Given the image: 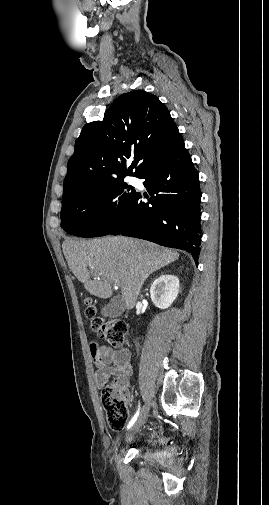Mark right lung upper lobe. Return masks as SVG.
<instances>
[{
  "mask_svg": "<svg viewBox=\"0 0 269 505\" xmlns=\"http://www.w3.org/2000/svg\"><path fill=\"white\" fill-rule=\"evenodd\" d=\"M182 143L168 109L155 95L144 90L125 93L105 111L103 120L83 127L68 161L62 202L85 189L138 177ZM129 158L134 161L127 168Z\"/></svg>",
  "mask_w": 269,
  "mask_h": 505,
  "instance_id": "cb5924a9",
  "label": "right lung upper lobe"
}]
</instances>
